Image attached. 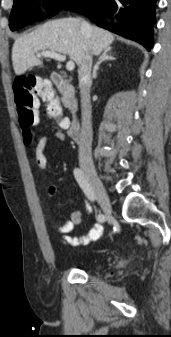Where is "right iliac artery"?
<instances>
[{
	"label": "right iliac artery",
	"mask_w": 171,
	"mask_h": 337,
	"mask_svg": "<svg viewBox=\"0 0 171 337\" xmlns=\"http://www.w3.org/2000/svg\"><path fill=\"white\" fill-rule=\"evenodd\" d=\"M74 176L75 179L77 180L78 184L80 185L81 189L83 190V192L85 193V195L88 197V199H90L91 201L95 200V194L93 191L92 186L90 185L88 179L86 178V176L84 175V173L82 172L81 169L79 168H75L74 169ZM99 222H104L105 221V215L103 214H99L97 217Z\"/></svg>",
	"instance_id": "right-iliac-artery-1"
}]
</instances>
